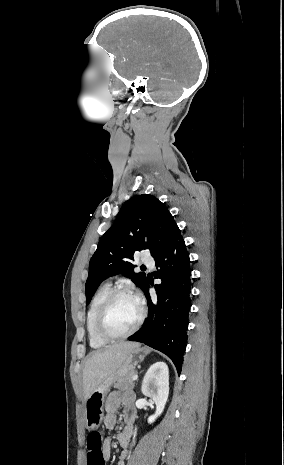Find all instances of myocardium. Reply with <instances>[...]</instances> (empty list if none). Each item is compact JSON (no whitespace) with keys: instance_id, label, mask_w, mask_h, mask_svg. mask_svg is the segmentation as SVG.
<instances>
[{"instance_id":"1","label":"myocardium","mask_w":284,"mask_h":465,"mask_svg":"<svg viewBox=\"0 0 284 465\" xmlns=\"http://www.w3.org/2000/svg\"><path fill=\"white\" fill-rule=\"evenodd\" d=\"M122 297H131L136 300L139 306V310H140V317L137 323L135 324V326L132 328V330L129 333L123 336L115 337V336H111L108 333H106V331L104 330V324H105V320L107 318V315L111 307L119 298H122ZM146 314L147 312H146L144 303L138 295H136L134 292L127 290V289L114 290L110 293V295L103 302L96 316L95 326H94L95 334L101 341H104L106 343H118V342L125 341L137 333V331L140 329L146 317Z\"/></svg>"}]
</instances>
